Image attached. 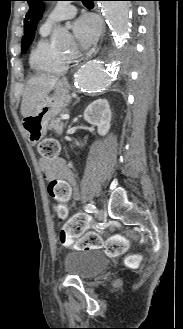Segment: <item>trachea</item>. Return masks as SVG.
<instances>
[{
  "label": "trachea",
  "instance_id": "trachea-1",
  "mask_svg": "<svg viewBox=\"0 0 183 329\" xmlns=\"http://www.w3.org/2000/svg\"><path fill=\"white\" fill-rule=\"evenodd\" d=\"M85 6L92 4V0H80Z\"/></svg>",
  "mask_w": 183,
  "mask_h": 329
}]
</instances>
